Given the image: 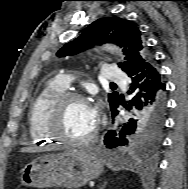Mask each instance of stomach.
Returning a JSON list of instances; mask_svg holds the SVG:
<instances>
[{
  "instance_id": "obj_1",
  "label": "stomach",
  "mask_w": 188,
  "mask_h": 189,
  "mask_svg": "<svg viewBox=\"0 0 188 189\" xmlns=\"http://www.w3.org/2000/svg\"><path fill=\"white\" fill-rule=\"evenodd\" d=\"M102 163L92 154L68 150L34 159L21 171V184L28 187L79 188L99 177Z\"/></svg>"
}]
</instances>
